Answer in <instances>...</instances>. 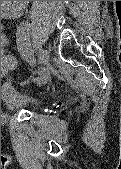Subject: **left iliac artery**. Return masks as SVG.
<instances>
[{"instance_id": "left-iliac-artery-1", "label": "left iliac artery", "mask_w": 121, "mask_h": 169, "mask_svg": "<svg viewBox=\"0 0 121 169\" xmlns=\"http://www.w3.org/2000/svg\"><path fill=\"white\" fill-rule=\"evenodd\" d=\"M28 25L25 23L23 26H19L18 34H16V43H17V49L18 51H21L20 57L24 59V61H28V64H33L32 54H33V46H27V42H23L24 35H26V31L28 30ZM37 69L33 70L34 74H42V70H44V65H39L40 63H37ZM36 66L35 64L33 65Z\"/></svg>"}]
</instances>
